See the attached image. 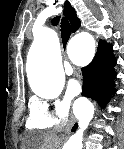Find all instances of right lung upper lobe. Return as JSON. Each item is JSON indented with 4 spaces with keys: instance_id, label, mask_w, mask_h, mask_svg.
<instances>
[{
    "instance_id": "right-lung-upper-lobe-1",
    "label": "right lung upper lobe",
    "mask_w": 124,
    "mask_h": 149,
    "mask_svg": "<svg viewBox=\"0 0 124 149\" xmlns=\"http://www.w3.org/2000/svg\"><path fill=\"white\" fill-rule=\"evenodd\" d=\"M64 13L67 15L68 19L70 20L71 26H72V32L74 33L81 26V22L76 15L75 9L71 6V4L68 1H66L64 5ZM58 21H59V17H56L52 20L54 25H57Z\"/></svg>"
}]
</instances>
